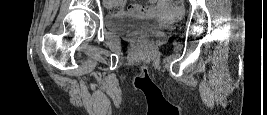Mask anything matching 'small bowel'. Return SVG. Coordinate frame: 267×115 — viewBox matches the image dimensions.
Listing matches in <instances>:
<instances>
[{"label": "small bowel", "instance_id": "obj_1", "mask_svg": "<svg viewBox=\"0 0 267 115\" xmlns=\"http://www.w3.org/2000/svg\"><path fill=\"white\" fill-rule=\"evenodd\" d=\"M127 11L132 14H147V15H166L171 13H178L179 7H176L169 0H158L151 2L148 5H143L138 2L131 3Z\"/></svg>", "mask_w": 267, "mask_h": 115}]
</instances>
